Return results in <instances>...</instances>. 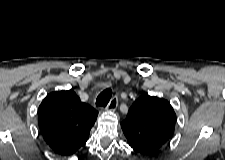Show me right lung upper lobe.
<instances>
[{
  "mask_svg": "<svg viewBox=\"0 0 225 160\" xmlns=\"http://www.w3.org/2000/svg\"><path fill=\"white\" fill-rule=\"evenodd\" d=\"M97 115L73 90L53 92L39 106V128L55 153L69 156L86 144Z\"/></svg>",
  "mask_w": 225,
  "mask_h": 160,
  "instance_id": "obj_1",
  "label": "right lung upper lobe"
}]
</instances>
